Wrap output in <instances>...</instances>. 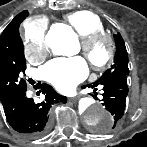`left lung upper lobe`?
I'll return each mask as SVG.
<instances>
[{
	"instance_id": "left-lung-upper-lobe-1",
	"label": "left lung upper lobe",
	"mask_w": 147,
	"mask_h": 147,
	"mask_svg": "<svg viewBox=\"0 0 147 147\" xmlns=\"http://www.w3.org/2000/svg\"><path fill=\"white\" fill-rule=\"evenodd\" d=\"M114 39L116 44V56L114 59V64L96 82L90 85L98 86L102 81L129 74L128 54L124 40L120 33L114 34Z\"/></svg>"
}]
</instances>
